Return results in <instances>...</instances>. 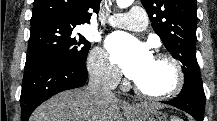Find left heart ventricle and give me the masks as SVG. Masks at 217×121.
<instances>
[{"instance_id": "obj_1", "label": "left heart ventricle", "mask_w": 217, "mask_h": 121, "mask_svg": "<svg viewBox=\"0 0 217 121\" xmlns=\"http://www.w3.org/2000/svg\"><path fill=\"white\" fill-rule=\"evenodd\" d=\"M173 79V72L168 63L152 58L135 81L147 91L161 92L170 87Z\"/></svg>"}]
</instances>
